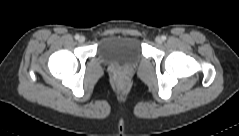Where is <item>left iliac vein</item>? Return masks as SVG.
Returning <instances> with one entry per match:
<instances>
[{"label": "left iliac vein", "instance_id": "left-iliac-vein-1", "mask_svg": "<svg viewBox=\"0 0 239 136\" xmlns=\"http://www.w3.org/2000/svg\"><path fill=\"white\" fill-rule=\"evenodd\" d=\"M155 41H156L157 44H161V43H162V38L159 37V36H157V37L155 38Z\"/></svg>", "mask_w": 239, "mask_h": 136}]
</instances>
